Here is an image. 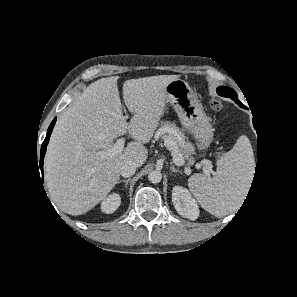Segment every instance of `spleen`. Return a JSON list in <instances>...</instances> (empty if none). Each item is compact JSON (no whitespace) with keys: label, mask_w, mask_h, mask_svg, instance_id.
<instances>
[{"label":"spleen","mask_w":297,"mask_h":297,"mask_svg":"<svg viewBox=\"0 0 297 297\" xmlns=\"http://www.w3.org/2000/svg\"><path fill=\"white\" fill-rule=\"evenodd\" d=\"M254 164L250 141L241 136L217 161L215 177L194 174L188 186L204 210L216 217L225 216L239 207L249 188Z\"/></svg>","instance_id":"1"}]
</instances>
